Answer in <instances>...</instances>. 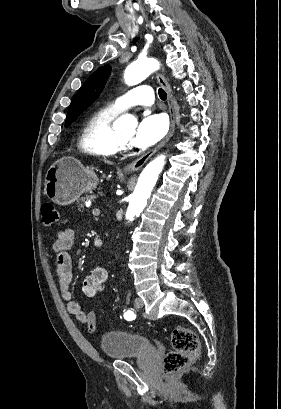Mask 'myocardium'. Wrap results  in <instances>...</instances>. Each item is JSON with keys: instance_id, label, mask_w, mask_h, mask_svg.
Wrapping results in <instances>:
<instances>
[{"instance_id": "myocardium-1", "label": "myocardium", "mask_w": 281, "mask_h": 409, "mask_svg": "<svg viewBox=\"0 0 281 409\" xmlns=\"http://www.w3.org/2000/svg\"><path fill=\"white\" fill-rule=\"evenodd\" d=\"M111 143L115 153L125 154L132 150V146H128L120 137L116 128L112 127L111 130Z\"/></svg>"}]
</instances>
